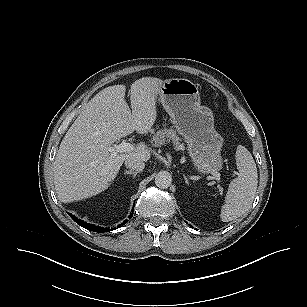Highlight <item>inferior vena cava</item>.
<instances>
[{
  "label": "inferior vena cava",
  "mask_w": 307,
  "mask_h": 307,
  "mask_svg": "<svg viewBox=\"0 0 307 307\" xmlns=\"http://www.w3.org/2000/svg\"><path fill=\"white\" fill-rule=\"evenodd\" d=\"M125 165H126L127 168L136 170L138 172H141L145 167V163L141 159H138V158H135V157H131V158L126 159Z\"/></svg>",
  "instance_id": "inferior-vena-cava-1"
}]
</instances>
